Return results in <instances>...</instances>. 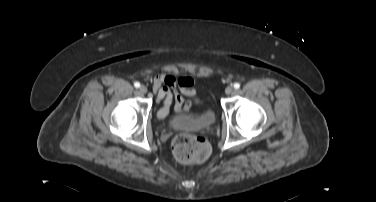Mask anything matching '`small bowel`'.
Segmentation results:
<instances>
[{
  "instance_id": "obj_1",
  "label": "small bowel",
  "mask_w": 376,
  "mask_h": 202,
  "mask_svg": "<svg viewBox=\"0 0 376 202\" xmlns=\"http://www.w3.org/2000/svg\"><path fill=\"white\" fill-rule=\"evenodd\" d=\"M152 89L156 103L162 104L157 113L159 119L168 115L172 104L176 113L187 112L192 105V98L197 93L195 81L191 77H176L164 73L153 78ZM184 97L189 99L185 100Z\"/></svg>"
}]
</instances>
